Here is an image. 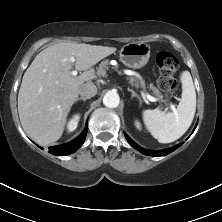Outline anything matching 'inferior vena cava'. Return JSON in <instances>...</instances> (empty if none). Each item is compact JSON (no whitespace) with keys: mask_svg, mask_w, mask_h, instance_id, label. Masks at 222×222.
<instances>
[{"mask_svg":"<svg viewBox=\"0 0 222 222\" xmlns=\"http://www.w3.org/2000/svg\"><path fill=\"white\" fill-rule=\"evenodd\" d=\"M96 93L97 87L93 83H86L79 90V94L87 99L94 97Z\"/></svg>","mask_w":222,"mask_h":222,"instance_id":"obj_1","label":"inferior vena cava"}]
</instances>
